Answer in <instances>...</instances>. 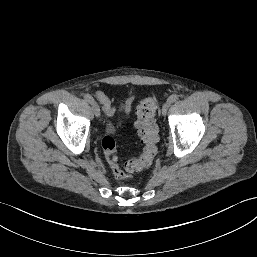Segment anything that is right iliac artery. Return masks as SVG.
I'll return each instance as SVG.
<instances>
[{
    "instance_id": "1",
    "label": "right iliac artery",
    "mask_w": 257,
    "mask_h": 257,
    "mask_svg": "<svg viewBox=\"0 0 257 257\" xmlns=\"http://www.w3.org/2000/svg\"><path fill=\"white\" fill-rule=\"evenodd\" d=\"M84 99L88 102V103H91L94 101L93 97L89 94H85L84 95Z\"/></svg>"
}]
</instances>
